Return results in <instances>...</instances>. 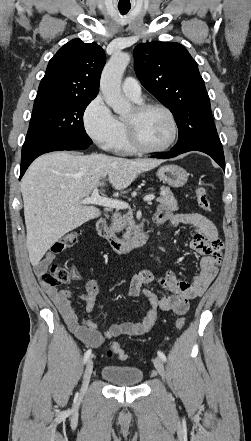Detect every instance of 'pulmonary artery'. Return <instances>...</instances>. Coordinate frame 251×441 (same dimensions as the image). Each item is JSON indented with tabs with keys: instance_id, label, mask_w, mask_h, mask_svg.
<instances>
[{
	"instance_id": "obj_1",
	"label": "pulmonary artery",
	"mask_w": 251,
	"mask_h": 441,
	"mask_svg": "<svg viewBox=\"0 0 251 441\" xmlns=\"http://www.w3.org/2000/svg\"><path fill=\"white\" fill-rule=\"evenodd\" d=\"M123 92L130 98L135 100L141 99V86L134 77H126L122 83Z\"/></svg>"
}]
</instances>
